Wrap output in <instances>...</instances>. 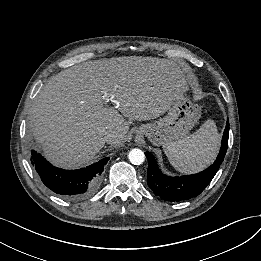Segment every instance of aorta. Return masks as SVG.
<instances>
[{
	"instance_id": "obj_1",
	"label": "aorta",
	"mask_w": 261,
	"mask_h": 261,
	"mask_svg": "<svg viewBox=\"0 0 261 261\" xmlns=\"http://www.w3.org/2000/svg\"><path fill=\"white\" fill-rule=\"evenodd\" d=\"M129 161L134 165H140L145 160L144 152L140 149H132L128 154Z\"/></svg>"
}]
</instances>
